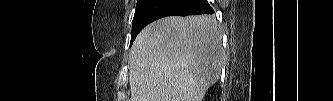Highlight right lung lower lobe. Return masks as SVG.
<instances>
[{
	"label": "right lung lower lobe",
	"instance_id": "right-lung-lower-lobe-1",
	"mask_svg": "<svg viewBox=\"0 0 333 101\" xmlns=\"http://www.w3.org/2000/svg\"><path fill=\"white\" fill-rule=\"evenodd\" d=\"M207 0H146L136 11L132 23L131 44L149 23L166 16L212 14Z\"/></svg>",
	"mask_w": 333,
	"mask_h": 101
}]
</instances>
